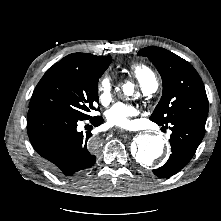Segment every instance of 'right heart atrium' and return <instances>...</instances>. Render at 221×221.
Segmentation results:
<instances>
[{
  "mask_svg": "<svg viewBox=\"0 0 221 221\" xmlns=\"http://www.w3.org/2000/svg\"><path fill=\"white\" fill-rule=\"evenodd\" d=\"M98 91H99V100L102 103H105L110 99L112 92V82L109 74H105L101 78L98 85Z\"/></svg>",
  "mask_w": 221,
  "mask_h": 221,
  "instance_id": "obj_1",
  "label": "right heart atrium"
}]
</instances>
